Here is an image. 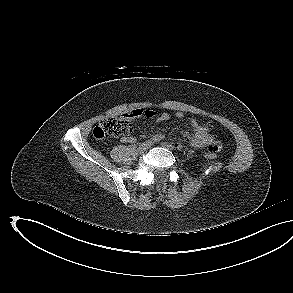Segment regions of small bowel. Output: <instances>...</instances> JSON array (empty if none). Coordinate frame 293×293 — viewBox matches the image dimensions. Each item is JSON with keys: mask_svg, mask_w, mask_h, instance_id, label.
Wrapping results in <instances>:
<instances>
[{"mask_svg": "<svg viewBox=\"0 0 293 293\" xmlns=\"http://www.w3.org/2000/svg\"><path fill=\"white\" fill-rule=\"evenodd\" d=\"M140 116H145L147 118H154L157 122H164L170 119V115L167 112L156 115L153 110H143V109H135L130 111L125 115V118L133 119ZM176 118L182 119L183 114L181 112L176 113ZM192 130L185 131L184 135L186 136L188 142L191 146L202 149L217 152L221 145L220 142L214 139V137L210 134L211 124L201 125L196 120L192 119L190 121ZM122 142L133 144L136 142V138L133 136H123L121 138Z\"/></svg>", "mask_w": 293, "mask_h": 293, "instance_id": "c3829d8e", "label": "small bowel"}]
</instances>
